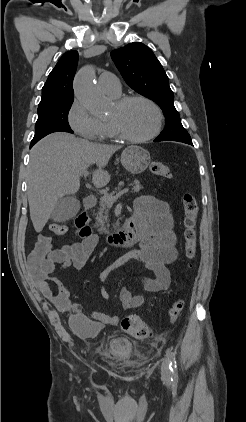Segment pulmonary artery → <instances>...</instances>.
<instances>
[{"instance_id": "pulmonary-artery-1", "label": "pulmonary artery", "mask_w": 246, "mask_h": 422, "mask_svg": "<svg viewBox=\"0 0 246 422\" xmlns=\"http://www.w3.org/2000/svg\"><path fill=\"white\" fill-rule=\"evenodd\" d=\"M98 85L105 93L112 96H118L121 92L119 79L110 72H104L99 76Z\"/></svg>"}]
</instances>
